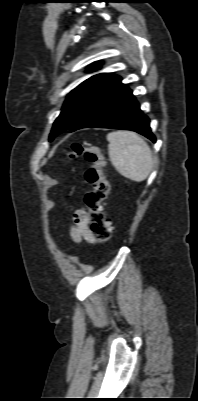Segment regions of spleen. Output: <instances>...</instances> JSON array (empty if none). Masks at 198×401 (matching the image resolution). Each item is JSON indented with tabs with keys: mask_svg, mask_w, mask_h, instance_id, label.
Listing matches in <instances>:
<instances>
[{
	"mask_svg": "<svg viewBox=\"0 0 198 401\" xmlns=\"http://www.w3.org/2000/svg\"><path fill=\"white\" fill-rule=\"evenodd\" d=\"M107 140L109 158L117 172L129 180L144 181L154 163L149 145L130 131L108 133Z\"/></svg>",
	"mask_w": 198,
	"mask_h": 401,
	"instance_id": "spleen-1",
	"label": "spleen"
}]
</instances>
